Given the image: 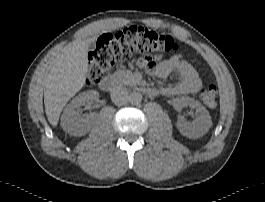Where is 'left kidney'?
Instances as JSON below:
<instances>
[{"label":"left kidney","mask_w":265,"mask_h":202,"mask_svg":"<svg viewBox=\"0 0 265 202\" xmlns=\"http://www.w3.org/2000/svg\"><path fill=\"white\" fill-rule=\"evenodd\" d=\"M173 106L180 111L189 106L196 111V117L192 121H184L178 118L177 128L179 132L187 138L197 139L208 132L212 126L211 116L208 110L197 100L190 97H180L173 100Z\"/></svg>","instance_id":"left-kidney-1"}]
</instances>
